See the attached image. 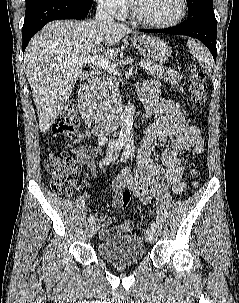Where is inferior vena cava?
I'll list each match as a JSON object with an SVG mask.
<instances>
[{
  "label": "inferior vena cava",
  "instance_id": "1",
  "mask_svg": "<svg viewBox=\"0 0 239 303\" xmlns=\"http://www.w3.org/2000/svg\"><path fill=\"white\" fill-rule=\"evenodd\" d=\"M95 19H96V21L105 22V23L114 22L113 18L111 17V11H110L109 4L105 0L98 4L97 9H96ZM115 144H116V141L114 139L110 140L109 147L113 148L115 146Z\"/></svg>",
  "mask_w": 239,
  "mask_h": 303
}]
</instances>
